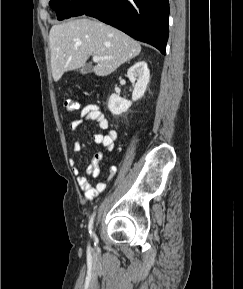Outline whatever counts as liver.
<instances>
[{
	"label": "liver",
	"mask_w": 243,
	"mask_h": 289,
	"mask_svg": "<svg viewBox=\"0 0 243 289\" xmlns=\"http://www.w3.org/2000/svg\"><path fill=\"white\" fill-rule=\"evenodd\" d=\"M49 46L55 82L64 72L83 67L91 55L109 57L93 67L97 76H107L141 52L140 43L127 34L85 17L53 25Z\"/></svg>",
	"instance_id": "6515ba94"
}]
</instances>
